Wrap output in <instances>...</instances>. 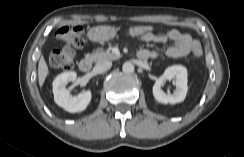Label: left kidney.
<instances>
[{
  "instance_id": "5707ae66",
  "label": "left kidney",
  "mask_w": 244,
  "mask_h": 157,
  "mask_svg": "<svg viewBox=\"0 0 244 157\" xmlns=\"http://www.w3.org/2000/svg\"><path fill=\"white\" fill-rule=\"evenodd\" d=\"M167 79H175L176 90L173 95H167L161 86ZM187 69L182 65L168 67L153 85L154 98L163 104H176L184 101L187 94Z\"/></svg>"
}]
</instances>
